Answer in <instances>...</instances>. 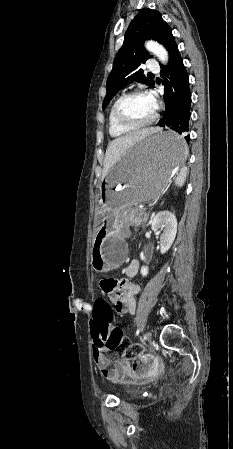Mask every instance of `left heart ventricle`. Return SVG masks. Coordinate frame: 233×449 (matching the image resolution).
I'll use <instances>...</instances> for the list:
<instances>
[{"label": "left heart ventricle", "instance_id": "b2bd125f", "mask_svg": "<svg viewBox=\"0 0 233 449\" xmlns=\"http://www.w3.org/2000/svg\"><path fill=\"white\" fill-rule=\"evenodd\" d=\"M155 103L147 95L132 96L124 100L119 108L120 116L130 123L147 121L154 113Z\"/></svg>", "mask_w": 233, "mask_h": 449}]
</instances>
